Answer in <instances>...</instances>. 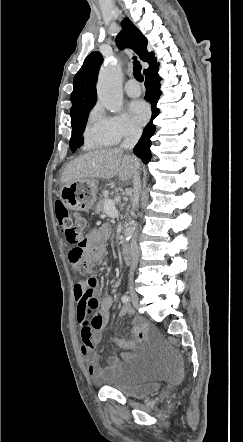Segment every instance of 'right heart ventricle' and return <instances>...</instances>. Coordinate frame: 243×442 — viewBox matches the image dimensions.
Wrapping results in <instances>:
<instances>
[{"label":"right heart ventricle","mask_w":243,"mask_h":442,"mask_svg":"<svg viewBox=\"0 0 243 442\" xmlns=\"http://www.w3.org/2000/svg\"><path fill=\"white\" fill-rule=\"evenodd\" d=\"M84 142L87 149L107 147L114 144V141L102 131L97 114H91L84 131Z\"/></svg>","instance_id":"obj_1"}]
</instances>
